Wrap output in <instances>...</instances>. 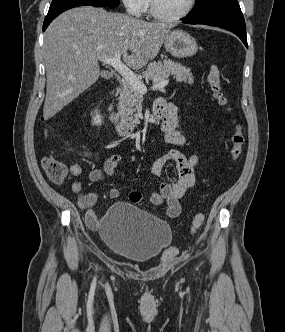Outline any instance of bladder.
<instances>
[{
  "label": "bladder",
  "instance_id": "obj_1",
  "mask_svg": "<svg viewBox=\"0 0 285 332\" xmlns=\"http://www.w3.org/2000/svg\"><path fill=\"white\" fill-rule=\"evenodd\" d=\"M99 232L117 256L135 263L159 256L170 244V226L132 203L118 202L103 214Z\"/></svg>",
  "mask_w": 285,
  "mask_h": 332
}]
</instances>
